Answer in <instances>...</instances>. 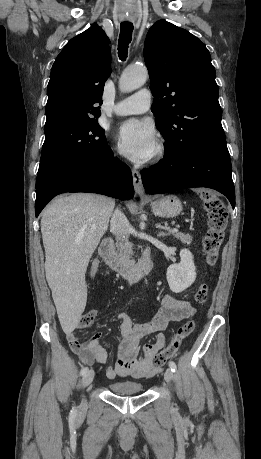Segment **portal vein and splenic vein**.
<instances>
[{
  "label": "portal vein and splenic vein",
  "instance_id": "obj_1",
  "mask_svg": "<svg viewBox=\"0 0 261 459\" xmlns=\"http://www.w3.org/2000/svg\"><path fill=\"white\" fill-rule=\"evenodd\" d=\"M169 230L173 232H178V228H172V229L169 228Z\"/></svg>",
  "mask_w": 261,
  "mask_h": 459
}]
</instances>
